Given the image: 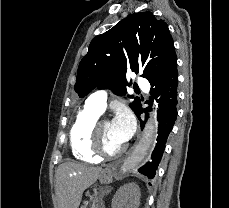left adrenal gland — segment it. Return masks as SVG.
Wrapping results in <instances>:
<instances>
[{
	"label": "left adrenal gland",
	"mask_w": 229,
	"mask_h": 208,
	"mask_svg": "<svg viewBox=\"0 0 229 208\" xmlns=\"http://www.w3.org/2000/svg\"><path fill=\"white\" fill-rule=\"evenodd\" d=\"M103 192H105V194H108V192H106V190H103Z\"/></svg>",
	"instance_id": "1"
}]
</instances>
